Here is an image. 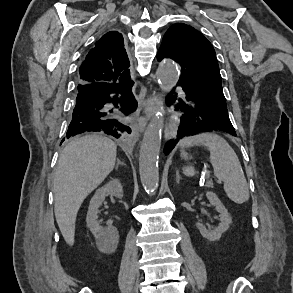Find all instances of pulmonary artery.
Returning a JSON list of instances; mask_svg holds the SVG:
<instances>
[{
	"mask_svg": "<svg viewBox=\"0 0 293 293\" xmlns=\"http://www.w3.org/2000/svg\"><path fill=\"white\" fill-rule=\"evenodd\" d=\"M179 93H180L181 95H184V92H183L181 89H179Z\"/></svg>",
	"mask_w": 293,
	"mask_h": 293,
	"instance_id": "1",
	"label": "pulmonary artery"
}]
</instances>
